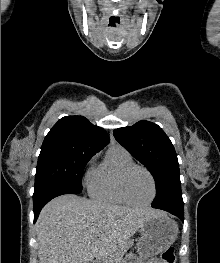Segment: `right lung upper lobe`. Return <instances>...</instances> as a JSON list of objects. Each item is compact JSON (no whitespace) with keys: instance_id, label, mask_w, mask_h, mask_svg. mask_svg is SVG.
Instances as JSON below:
<instances>
[{"instance_id":"obj_1","label":"right lung upper lobe","mask_w":220,"mask_h":263,"mask_svg":"<svg viewBox=\"0 0 220 263\" xmlns=\"http://www.w3.org/2000/svg\"><path fill=\"white\" fill-rule=\"evenodd\" d=\"M109 142V136L102 128L91 124L82 116L61 118L44 139L41 151L74 150L99 152Z\"/></svg>"}]
</instances>
